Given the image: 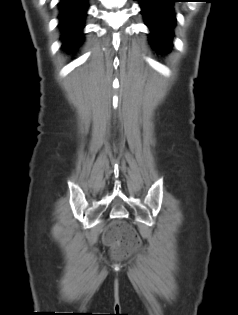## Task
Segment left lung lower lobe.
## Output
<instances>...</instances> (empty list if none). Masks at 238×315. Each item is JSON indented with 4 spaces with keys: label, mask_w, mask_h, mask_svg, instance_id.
<instances>
[{
    "label": "left lung lower lobe",
    "mask_w": 238,
    "mask_h": 315,
    "mask_svg": "<svg viewBox=\"0 0 238 315\" xmlns=\"http://www.w3.org/2000/svg\"><path fill=\"white\" fill-rule=\"evenodd\" d=\"M139 1L145 24L150 29L149 42L157 52H170L176 17L173 3L179 0H134Z\"/></svg>",
    "instance_id": "obj_1"
}]
</instances>
